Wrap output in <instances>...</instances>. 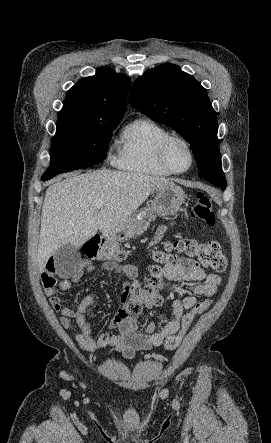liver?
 <instances>
[{"label":"liver","mask_w":271,"mask_h":443,"mask_svg":"<svg viewBox=\"0 0 271 443\" xmlns=\"http://www.w3.org/2000/svg\"><path fill=\"white\" fill-rule=\"evenodd\" d=\"M62 182L46 190L39 235L37 263L44 271L46 263L59 247L79 249L100 229L103 235L117 231L150 194L172 184L165 178L96 170L88 174H64ZM96 202H104L99 212Z\"/></svg>","instance_id":"obj_1"}]
</instances>
